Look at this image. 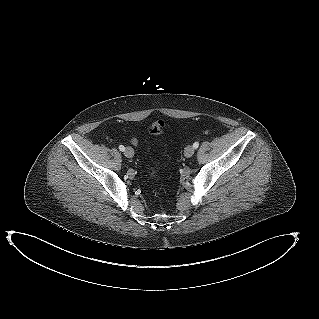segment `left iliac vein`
Segmentation results:
<instances>
[{"label":"left iliac vein","mask_w":319,"mask_h":319,"mask_svg":"<svg viewBox=\"0 0 319 319\" xmlns=\"http://www.w3.org/2000/svg\"><path fill=\"white\" fill-rule=\"evenodd\" d=\"M195 152V149L193 146H187L184 150V154L187 158L191 157Z\"/></svg>","instance_id":"left-iliac-vein-1"}]
</instances>
